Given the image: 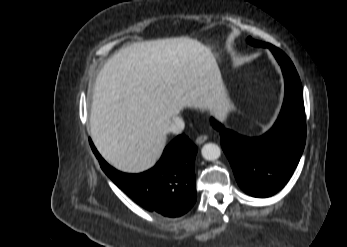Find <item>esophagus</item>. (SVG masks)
<instances>
[{"mask_svg": "<svg viewBox=\"0 0 347 247\" xmlns=\"http://www.w3.org/2000/svg\"><path fill=\"white\" fill-rule=\"evenodd\" d=\"M208 137L206 135H200L196 138V144L201 145L207 141Z\"/></svg>", "mask_w": 347, "mask_h": 247, "instance_id": "1", "label": "esophagus"}]
</instances>
